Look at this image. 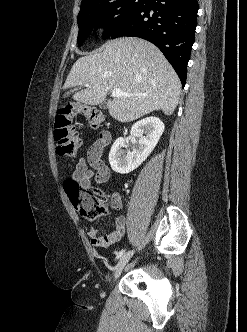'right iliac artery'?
Segmentation results:
<instances>
[{"label": "right iliac artery", "mask_w": 247, "mask_h": 332, "mask_svg": "<svg viewBox=\"0 0 247 332\" xmlns=\"http://www.w3.org/2000/svg\"><path fill=\"white\" fill-rule=\"evenodd\" d=\"M125 252V249L121 250L120 252L117 253V259H119L123 253Z\"/></svg>", "instance_id": "right-iliac-artery-1"}]
</instances>
